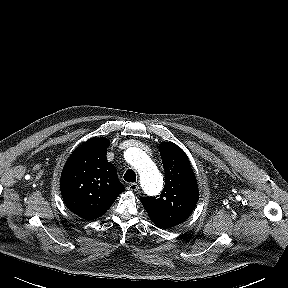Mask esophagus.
<instances>
[{
  "mask_svg": "<svg viewBox=\"0 0 288 288\" xmlns=\"http://www.w3.org/2000/svg\"><path fill=\"white\" fill-rule=\"evenodd\" d=\"M139 189V186L137 183H130L127 186V190L131 191V192H136Z\"/></svg>",
  "mask_w": 288,
  "mask_h": 288,
  "instance_id": "1",
  "label": "esophagus"
}]
</instances>
